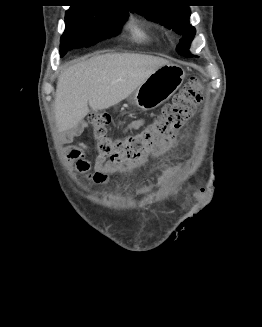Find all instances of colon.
<instances>
[{
	"label": "colon",
	"instance_id": "obj_1",
	"mask_svg": "<svg viewBox=\"0 0 262 327\" xmlns=\"http://www.w3.org/2000/svg\"><path fill=\"white\" fill-rule=\"evenodd\" d=\"M202 100V87L197 80L192 79L141 131L122 137L110 135V115L105 113L89 115L88 122L98 155L116 165L137 160L154 146L172 138L174 133L194 115Z\"/></svg>",
	"mask_w": 262,
	"mask_h": 327
}]
</instances>
